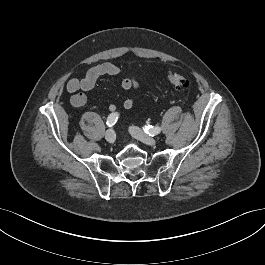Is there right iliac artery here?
<instances>
[{
  "label": "right iliac artery",
  "instance_id": "82829eb1",
  "mask_svg": "<svg viewBox=\"0 0 265 265\" xmlns=\"http://www.w3.org/2000/svg\"><path fill=\"white\" fill-rule=\"evenodd\" d=\"M119 118V114L117 112L115 113H111L108 118H107V122L106 124L109 126V127H112L118 120Z\"/></svg>",
  "mask_w": 265,
  "mask_h": 265
}]
</instances>
